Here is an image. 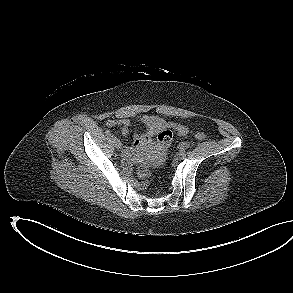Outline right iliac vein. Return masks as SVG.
<instances>
[{"label": "right iliac vein", "mask_w": 293, "mask_h": 293, "mask_svg": "<svg viewBox=\"0 0 293 293\" xmlns=\"http://www.w3.org/2000/svg\"><path fill=\"white\" fill-rule=\"evenodd\" d=\"M113 144L117 149H121V147H122L120 140L117 138L113 139Z\"/></svg>", "instance_id": "63e3f726"}]
</instances>
